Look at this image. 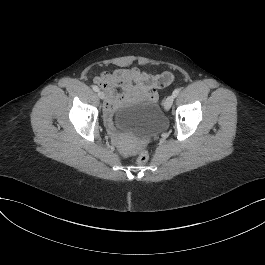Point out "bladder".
Here are the masks:
<instances>
[{
  "mask_svg": "<svg viewBox=\"0 0 265 265\" xmlns=\"http://www.w3.org/2000/svg\"><path fill=\"white\" fill-rule=\"evenodd\" d=\"M165 115L155 102L124 108L118 115L117 126L121 132L138 136H151L165 126Z\"/></svg>",
  "mask_w": 265,
  "mask_h": 265,
  "instance_id": "31cf9c89",
  "label": "bladder"
}]
</instances>
